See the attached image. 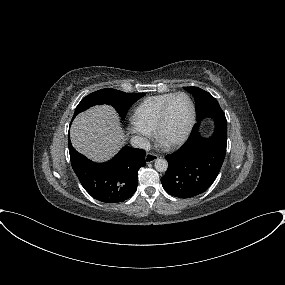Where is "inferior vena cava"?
Returning <instances> with one entry per match:
<instances>
[{
    "mask_svg": "<svg viewBox=\"0 0 285 285\" xmlns=\"http://www.w3.org/2000/svg\"><path fill=\"white\" fill-rule=\"evenodd\" d=\"M131 144L133 147L144 149L145 151H149L151 148L149 141L141 136L132 137Z\"/></svg>",
    "mask_w": 285,
    "mask_h": 285,
    "instance_id": "1",
    "label": "inferior vena cava"
}]
</instances>
